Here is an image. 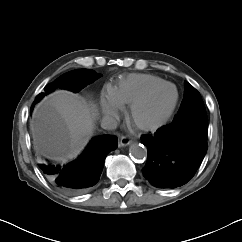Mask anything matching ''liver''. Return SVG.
Returning <instances> with one entry per match:
<instances>
[{
  "mask_svg": "<svg viewBox=\"0 0 242 242\" xmlns=\"http://www.w3.org/2000/svg\"><path fill=\"white\" fill-rule=\"evenodd\" d=\"M93 128V115L86 102L64 90L41 101L31 121L36 147L61 160L75 157L92 136Z\"/></svg>",
  "mask_w": 242,
  "mask_h": 242,
  "instance_id": "1",
  "label": "liver"
}]
</instances>
